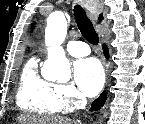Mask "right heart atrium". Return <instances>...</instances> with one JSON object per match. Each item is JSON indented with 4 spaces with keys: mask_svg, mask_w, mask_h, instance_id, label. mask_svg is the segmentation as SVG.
I'll list each match as a JSON object with an SVG mask.
<instances>
[{
    "mask_svg": "<svg viewBox=\"0 0 145 124\" xmlns=\"http://www.w3.org/2000/svg\"><path fill=\"white\" fill-rule=\"evenodd\" d=\"M82 96L72 85L59 84L56 87V102L62 112H70L83 103Z\"/></svg>",
    "mask_w": 145,
    "mask_h": 124,
    "instance_id": "obj_1",
    "label": "right heart atrium"
}]
</instances>
